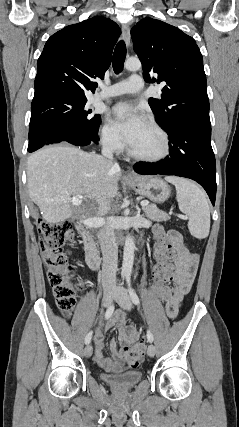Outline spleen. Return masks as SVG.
Instances as JSON below:
<instances>
[{"mask_svg":"<svg viewBox=\"0 0 239 427\" xmlns=\"http://www.w3.org/2000/svg\"><path fill=\"white\" fill-rule=\"evenodd\" d=\"M176 188L179 209L189 219L188 228L192 236L204 239L210 230V209L205 192L194 182L176 176L165 177Z\"/></svg>","mask_w":239,"mask_h":427,"instance_id":"spleen-1","label":"spleen"}]
</instances>
